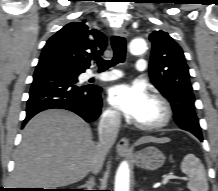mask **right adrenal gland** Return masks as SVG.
Returning <instances> with one entry per match:
<instances>
[{
  "mask_svg": "<svg viewBox=\"0 0 218 191\" xmlns=\"http://www.w3.org/2000/svg\"><path fill=\"white\" fill-rule=\"evenodd\" d=\"M95 186V179L93 177H90V179L86 182V184L82 185L81 187L87 188V190H93V187Z\"/></svg>",
  "mask_w": 218,
  "mask_h": 191,
  "instance_id": "2a0ac1e0",
  "label": "right adrenal gland"
}]
</instances>
